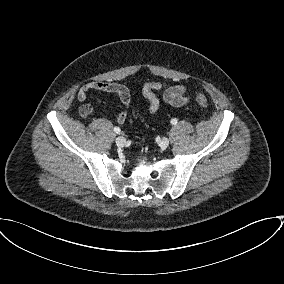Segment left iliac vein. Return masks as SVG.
Listing matches in <instances>:
<instances>
[{"mask_svg":"<svg viewBox=\"0 0 284 284\" xmlns=\"http://www.w3.org/2000/svg\"><path fill=\"white\" fill-rule=\"evenodd\" d=\"M160 147L162 149H166L169 145V139L167 137H163L161 140H160V143H159Z\"/></svg>","mask_w":284,"mask_h":284,"instance_id":"left-iliac-vein-1","label":"left iliac vein"}]
</instances>
